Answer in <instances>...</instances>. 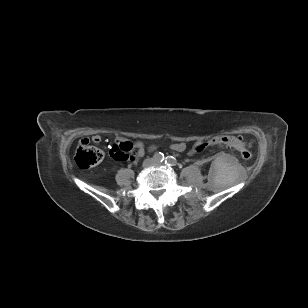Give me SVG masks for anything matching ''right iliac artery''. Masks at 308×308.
I'll return each instance as SVG.
<instances>
[{
	"mask_svg": "<svg viewBox=\"0 0 308 308\" xmlns=\"http://www.w3.org/2000/svg\"><path fill=\"white\" fill-rule=\"evenodd\" d=\"M153 158L156 160V161H159V162H162L165 157H164V154L161 153V152H156L154 155H153Z\"/></svg>",
	"mask_w": 308,
	"mask_h": 308,
	"instance_id": "82829eb1",
	"label": "right iliac artery"
}]
</instances>
